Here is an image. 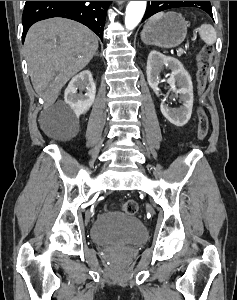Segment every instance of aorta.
I'll return each instance as SVG.
<instances>
[{
	"instance_id": "1",
	"label": "aorta",
	"mask_w": 237,
	"mask_h": 300,
	"mask_svg": "<svg viewBox=\"0 0 237 300\" xmlns=\"http://www.w3.org/2000/svg\"><path fill=\"white\" fill-rule=\"evenodd\" d=\"M147 1H130L125 13V27L128 31L139 25L146 9Z\"/></svg>"
}]
</instances>
